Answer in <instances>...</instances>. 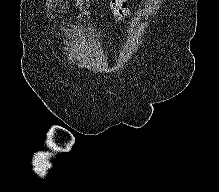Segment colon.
Listing matches in <instances>:
<instances>
[{
  "mask_svg": "<svg viewBox=\"0 0 219 192\" xmlns=\"http://www.w3.org/2000/svg\"><path fill=\"white\" fill-rule=\"evenodd\" d=\"M77 5L80 7H86L88 5L89 0H76Z\"/></svg>",
  "mask_w": 219,
  "mask_h": 192,
  "instance_id": "colon-1",
  "label": "colon"
}]
</instances>
